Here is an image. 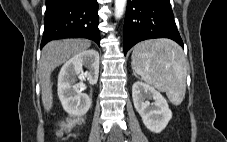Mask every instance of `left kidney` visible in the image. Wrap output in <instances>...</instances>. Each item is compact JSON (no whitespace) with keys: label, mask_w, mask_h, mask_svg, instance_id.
Masks as SVG:
<instances>
[{"label":"left kidney","mask_w":227,"mask_h":142,"mask_svg":"<svg viewBox=\"0 0 227 142\" xmlns=\"http://www.w3.org/2000/svg\"><path fill=\"white\" fill-rule=\"evenodd\" d=\"M132 98L146 128L160 133L172 118L166 99L155 88L140 81L132 86ZM148 99H153L154 102L150 103Z\"/></svg>","instance_id":"left-kidney-1"}]
</instances>
